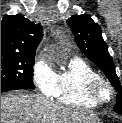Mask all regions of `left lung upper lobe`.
Instances as JSON below:
<instances>
[{
    "mask_svg": "<svg viewBox=\"0 0 122 123\" xmlns=\"http://www.w3.org/2000/svg\"><path fill=\"white\" fill-rule=\"evenodd\" d=\"M67 23L79 49L104 72L118 92L113 110L122 114V86L116 75L113 59L108 53L107 44L102 38L100 26L88 15H74Z\"/></svg>",
    "mask_w": 122,
    "mask_h": 123,
    "instance_id": "1",
    "label": "left lung upper lobe"
}]
</instances>
